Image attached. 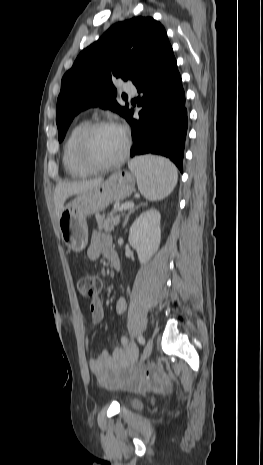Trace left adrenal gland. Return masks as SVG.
I'll list each match as a JSON object with an SVG mask.
<instances>
[{
    "label": "left adrenal gland",
    "instance_id": "1",
    "mask_svg": "<svg viewBox=\"0 0 263 465\" xmlns=\"http://www.w3.org/2000/svg\"><path fill=\"white\" fill-rule=\"evenodd\" d=\"M143 205H145V204H140L139 206H136L135 208L131 209V210L128 212V214L125 216V220H124V223H123V227L126 226L128 220H129L130 215H131L133 212H135L140 206H143Z\"/></svg>",
    "mask_w": 263,
    "mask_h": 465
}]
</instances>
